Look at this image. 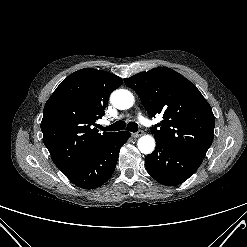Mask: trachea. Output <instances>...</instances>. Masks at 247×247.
Listing matches in <instances>:
<instances>
[{"mask_svg": "<svg viewBox=\"0 0 247 247\" xmlns=\"http://www.w3.org/2000/svg\"><path fill=\"white\" fill-rule=\"evenodd\" d=\"M99 128L103 131H119V130H123L125 128V122L120 120V121H117L110 126H106V127L100 126ZM127 130H129L131 132H137L138 126L135 122H129L127 124Z\"/></svg>", "mask_w": 247, "mask_h": 247, "instance_id": "3493384b", "label": "trachea"}]
</instances>
